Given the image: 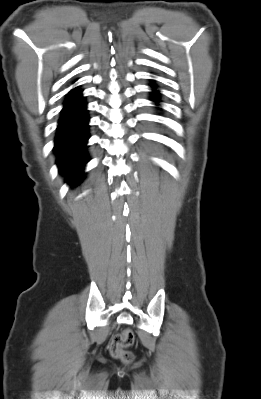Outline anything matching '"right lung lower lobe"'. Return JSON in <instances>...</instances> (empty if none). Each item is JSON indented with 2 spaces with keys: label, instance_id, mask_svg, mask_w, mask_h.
I'll list each match as a JSON object with an SVG mask.
<instances>
[{
  "label": "right lung lower lobe",
  "instance_id": "1",
  "mask_svg": "<svg viewBox=\"0 0 261 399\" xmlns=\"http://www.w3.org/2000/svg\"><path fill=\"white\" fill-rule=\"evenodd\" d=\"M86 102L79 87L67 96L58 122L54 152L59 171L72 185L81 180V172L88 162L86 142L89 138Z\"/></svg>",
  "mask_w": 261,
  "mask_h": 399
}]
</instances>
